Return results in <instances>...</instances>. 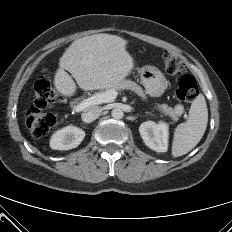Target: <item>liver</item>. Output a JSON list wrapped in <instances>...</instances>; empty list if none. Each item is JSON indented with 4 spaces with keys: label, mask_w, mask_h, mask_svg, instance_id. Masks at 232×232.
<instances>
[{
    "label": "liver",
    "mask_w": 232,
    "mask_h": 232,
    "mask_svg": "<svg viewBox=\"0 0 232 232\" xmlns=\"http://www.w3.org/2000/svg\"><path fill=\"white\" fill-rule=\"evenodd\" d=\"M126 44L127 40L106 33L75 40L59 59L54 75L56 90L70 97L76 92V83L87 91L107 89L123 81L134 67Z\"/></svg>",
    "instance_id": "6515ba94"
}]
</instances>
